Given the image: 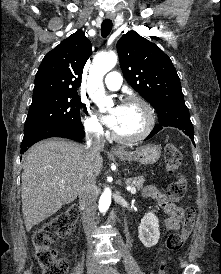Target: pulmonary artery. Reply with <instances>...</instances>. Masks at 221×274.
Listing matches in <instances>:
<instances>
[{"mask_svg": "<svg viewBox=\"0 0 221 274\" xmlns=\"http://www.w3.org/2000/svg\"><path fill=\"white\" fill-rule=\"evenodd\" d=\"M104 82L108 89L118 90L121 86L122 78L118 72L112 71L106 75Z\"/></svg>", "mask_w": 221, "mask_h": 274, "instance_id": "1", "label": "pulmonary artery"}]
</instances>
